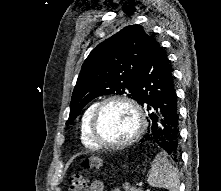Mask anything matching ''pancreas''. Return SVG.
<instances>
[{
    "label": "pancreas",
    "instance_id": "cf45deb5",
    "mask_svg": "<svg viewBox=\"0 0 221 191\" xmlns=\"http://www.w3.org/2000/svg\"><path fill=\"white\" fill-rule=\"evenodd\" d=\"M123 188H124L125 191H142L141 189H137L133 186H130V184H128V183H125L123 185Z\"/></svg>",
    "mask_w": 221,
    "mask_h": 191
}]
</instances>
